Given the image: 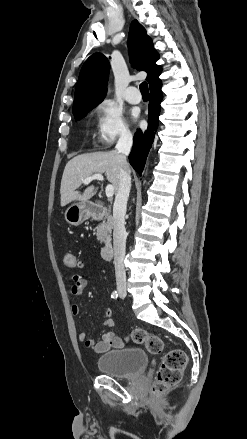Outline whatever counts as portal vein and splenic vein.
Returning <instances> with one entry per match:
<instances>
[{
    "instance_id": "1",
    "label": "portal vein and splenic vein",
    "mask_w": 247,
    "mask_h": 439,
    "mask_svg": "<svg viewBox=\"0 0 247 439\" xmlns=\"http://www.w3.org/2000/svg\"><path fill=\"white\" fill-rule=\"evenodd\" d=\"M93 180H100V181H103V180H104V177H103L102 174H94V175H92V176L87 177L86 179H84V180H83V183H84L85 185H87V184H89V183H90L91 181H93ZM105 192H106V196H107L108 198H111V197L113 196V194H114V187H113V185L108 184V185L106 186V188H105Z\"/></svg>"
}]
</instances>
